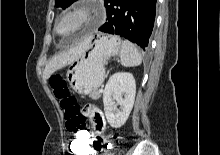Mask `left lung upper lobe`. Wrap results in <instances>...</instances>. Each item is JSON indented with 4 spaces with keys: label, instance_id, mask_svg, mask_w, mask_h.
Instances as JSON below:
<instances>
[{
    "label": "left lung upper lobe",
    "instance_id": "1",
    "mask_svg": "<svg viewBox=\"0 0 220 155\" xmlns=\"http://www.w3.org/2000/svg\"><path fill=\"white\" fill-rule=\"evenodd\" d=\"M75 0H55V5L57 7H62L65 9L68 7L70 4H72Z\"/></svg>",
    "mask_w": 220,
    "mask_h": 155
}]
</instances>
